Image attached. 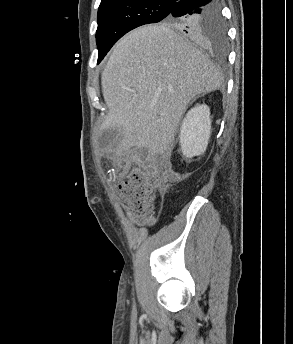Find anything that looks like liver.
Here are the masks:
<instances>
[{
    "instance_id": "6515ba94",
    "label": "liver",
    "mask_w": 293,
    "mask_h": 344,
    "mask_svg": "<svg viewBox=\"0 0 293 344\" xmlns=\"http://www.w3.org/2000/svg\"><path fill=\"white\" fill-rule=\"evenodd\" d=\"M218 68L171 27L149 25L124 36L101 75L108 108L105 127L122 139L117 156L131 147L169 156L190 101L221 87Z\"/></svg>"
}]
</instances>
